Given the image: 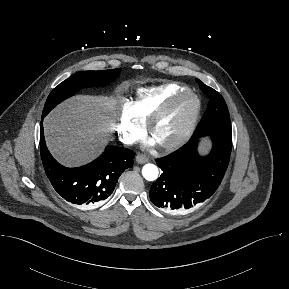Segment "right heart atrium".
Instances as JSON below:
<instances>
[{"instance_id": "1", "label": "right heart atrium", "mask_w": 289, "mask_h": 289, "mask_svg": "<svg viewBox=\"0 0 289 289\" xmlns=\"http://www.w3.org/2000/svg\"><path fill=\"white\" fill-rule=\"evenodd\" d=\"M116 130L121 141L127 144L136 141L143 134L144 123L136 117L132 103L128 100L121 103Z\"/></svg>"}]
</instances>
